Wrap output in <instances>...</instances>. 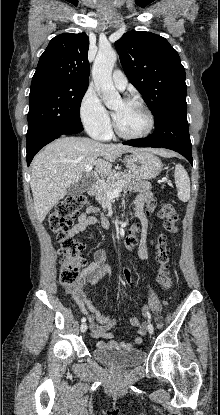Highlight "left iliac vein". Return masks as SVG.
<instances>
[{
    "mask_svg": "<svg viewBox=\"0 0 220 415\" xmlns=\"http://www.w3.org/2000/svg\"><path fill=\"white\" fill-rule=\"evenodd\" d=\"M148 332L150 334H153V332H154V327H153V325L151 323L148 324Z\"/></svg>",
    "mask_w": 220,
    "mask_h": 415,
    "instance_id": "obj_1",
    "label": "left iliac vein"
}]
</instances>
